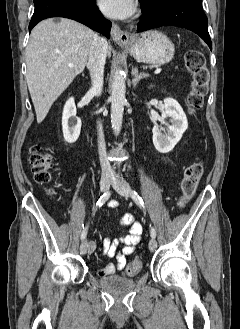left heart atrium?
<instances>
[{
	"mask_svg": "<svg viewBox=\"0 0 240 329\" xmlns=\"http://www.w3.org/2000/svg\"><path fill=\"white\" fill-rule=\"evenodd\" d=\"M101 11L108 17L124 19L134 11L133 0H98Z\"/></svg>",
	"mask_w": 240,
	"mask_h": 329,
	"instance_id": "1",
	"label": "left heart atrium"
}]
</instances>
